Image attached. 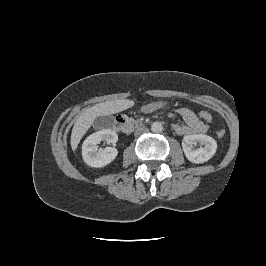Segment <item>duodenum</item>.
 <instances>
[{
    "instance_id": "410a0bca",
    "label": "duodenum",
    "mask_w": 266,
    "mask_h": 266,
    "mask_svg": "<svg viewBox=\"0 0 266 266\" xmlns=\"http://www.w3.org/2000/svg\"><path fill=\"white\" fill-rule=\"evenodd\" d=\"M133 124L123 115H118L115 119V128L123 133L130 132L133 129Z\"/></svg>"
}]
</instances>
